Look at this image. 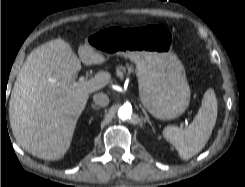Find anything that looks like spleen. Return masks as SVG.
<instances>
[{
  "label": "spleen",
  "instance_id": "obj_1",
  "mask_svg": "<svg viewBox=\"0 0 245 187\" xmlns=\"http://www.w3.org/2000/svg\"><path fill=\"white\" fill-rule=\"evenodd\" d=\"M217 107L215 92L208 89L197 115L188 128L181 129L171 125L164 128V138L177 149L182 159L188 160L204 148L216 123Z\"/></svg>",
  "mask_w": 245,
  "mask_h": 187
}]
</instances>
